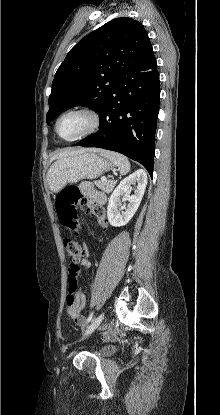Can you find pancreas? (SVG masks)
<instances>
[{
    "label": "pancreas",
    "mask_w": 220,
    "mask_h": 415,
    "mask_svg": "<svg viewBox=\"0 0 220 415\" xmlns=\"http://www.w3.org/2000/svg\"><path fill=\"white\" fill-rule=\"evenodd\" d=\"M117 181L116 180H106V181H95L94 184L103 192L111 193L114 189Z\"/></svg>",
    "instance_id": "obj_1"
}]
</instances>
